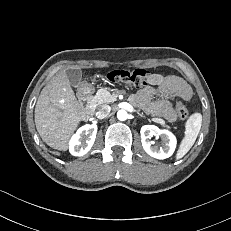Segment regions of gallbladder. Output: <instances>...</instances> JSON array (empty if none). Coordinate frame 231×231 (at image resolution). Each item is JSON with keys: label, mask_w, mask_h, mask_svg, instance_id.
I'll use <instances>...</instances> for the list:
<instances>
[{"label": "gallbladder", "mask_w": 231, "mask_h": 231, "mask_svg": "<svg viewBox=\"0 0 231 231\" xmlns=\"http://www.w3.org/2000/svg\"><path fill=\"white\" fill-rule=\"evenodd\" d=\"M67 78L72 86L77 87L81 83L82 71L79 68H71L66 71Z\"/></svg>", "instance_id": "gallbladder-1"}]
</instances>
